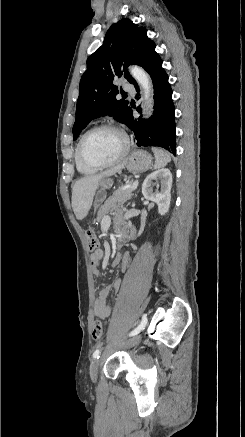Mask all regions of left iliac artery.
Instances as JSON below:
<instances>
[{"label":"left iliac artery","mask_w":245,"mask_h":437,"mask_svg":"<svg viewBox=\"0 0 245 437\" xmlns=\"http://www.w3.org/2000/svg\"><path fill=\"white\" fill-rule=\"evenodd\" d=\"M146 324H147V316L146 314H143L140 324L129 334V336L137 335L140 331H142L145 328ZM100 353H101L100 349L95 350L93 353V358L98 359Z\"/></svg>","instance_id":"obj_1"}]
</instances>
